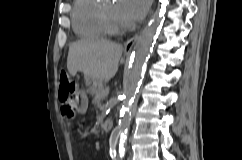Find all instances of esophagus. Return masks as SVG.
<instances>
[{
    "mask_svg": "<svg viewBox=\"0 0 242 160\" xmlns=\"http://www.w3.org/2000/svg\"><path fill=\"white\" fill-rule=\"evenodd\" d=\"M137 37H138V32L135 33L132 37H130L124 44V51L129 53L132 51L133 49V46L137 40Z\"/></svg>",
    "mask_w": 242,
    "mask_h": 160,
    "instance_id": "obj_1",
    "label": "esophagus"
}]
</instances>
